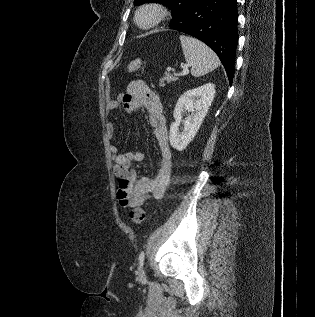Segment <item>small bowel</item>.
Wrapping results in <instances>:
<instances>
[{"label": "small bowel", "mask_w": 315, "mask_h": 317, "mask_svg": "<svg viewBox=\"0 0 315 317\" xmlns=\"http://www.w3.org/2000/svg\"><path fill=\"white\" fill-rule=\"evenodd\" d=\"M120 106L130 116H134L139 110H145L160 150V164L156 175L138 177L133 165L144 160V153H119L117 145L112 142L116 126L113 122L106 125V136L111 141L113 173L119 183L118 201L123 207H137L150 197L161 198L164 195L171 175L172 152L162 103L145 82L138 80L129 83L126 92L109 101L107 108L114 111Z\"/></svg>", "instance_id": "1"}]
</instances>
